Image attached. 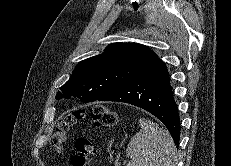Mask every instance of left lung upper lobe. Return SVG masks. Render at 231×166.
<instances>
[{"instance_id": "1", "label": "left lung upper lobe", "mask_w": 231, "mask_h": 166, "mask_svg": "<svg viewBox=\"0 0 231 166\" xmlns=\"http://www.w3.org/2000/svg\"><path fill=\"white\" fill-rule=\"evenodd\" d=\"M158 56L137 43H113L102 54L79 62L56 99L70 96L92 102L146 68Z\"/></svg>"}]
</instances>
